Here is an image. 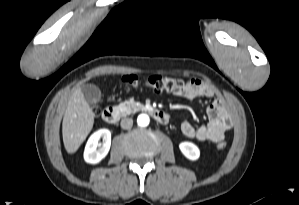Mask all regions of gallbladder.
<instances>
[{
	"instance_id": "bac80fb5",
	"label": "gallbladder",
	"mask_w": 299,
	"mask_h": 205,
	"mask_svg": "<svg viewBox=\"0 0 299 205\" xmlns=\"http://www.w3.org/2000/svg\"><path fill=\"white\" fill-rule=\"evenodd\" d=\"M81 91L90 104H97L101 100V91L96 85L84 84L81 86Z\"/></svg>"
}]
</instances>
